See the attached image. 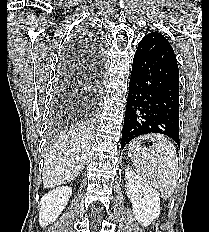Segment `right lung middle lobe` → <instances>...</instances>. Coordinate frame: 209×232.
Masks as SVG:
<instances>
[{
	"instance_id": "1",
	"label": "right lung middle lobe",
	"mask_w": 209,
	"mask_h": 232,
	"mask_svg": "<svg viewBox=\"0 0 209 232\" xmlns=\"http://www.w3.org/2000/svg\"><path fill=\"white\" fill-rule=\"evenodd\" d=\"M63 107H64V100L59 101L55 105V115L53 118V124L56 127H62L67 122V116H68L67 114H69V111Z\"/></svg>"
}]
</instances>
